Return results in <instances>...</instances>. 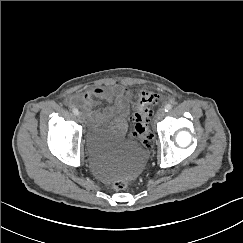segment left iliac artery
<instances>
[{"label": "left iliac artery", "mask_w": 243, "mask_h": 243, "mask_svg": "<svg viewBox=\"0 0 243 243\" xmlns=\"http://www.w3.org/2000/svg\"><path fill=\"white\" fill-rule=\"evenodd\" d=\"M171 109H172V105H171V104H167V105H165V107H164L165 112H168V111H170Z\"/></svg>", "instance_id": "obj_1"}]
</instances>
